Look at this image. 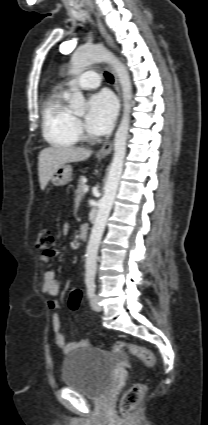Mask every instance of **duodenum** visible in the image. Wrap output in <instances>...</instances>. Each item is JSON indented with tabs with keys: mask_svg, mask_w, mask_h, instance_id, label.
Here are the masks:
<instances>
[{
	"mask_svg": "<svg viewBox=\"0 0 208 425\" xmlns=\"http://www.w3.org/2000/svg\"><path fill=\"white\" fill-rule=\"evenodd\" d=\"M80 237L82 240H86L88 238V227L83 225L80 228Z\"/></svg>",
	"mask_w": 208,
	"mask_h": 425,
	"instance_id": "1",
	"label": "duodenum"
}]
</instances>
